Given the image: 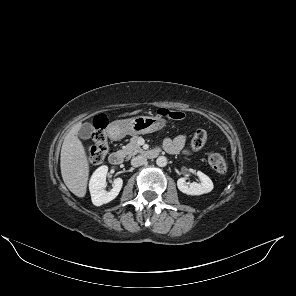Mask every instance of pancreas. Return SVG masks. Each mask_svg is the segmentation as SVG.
Returning a JSON list of instances; mask_svg holds the SVG:
<instances>
[{"mask_svg":"<svg viewBox=\"0 0 296 296\" xmlns=\"http://www.w3.org/2000/svg\"><path fill=\"white\" fill-rule=\"evenodd\" d=\"M138 139V136H133L130 139V142L126 146H123L121 153L128 158L134 156L137 153H143V149L138 144Z\"/></svg>","mask_w":296,"mask_h":296,"instance_id":"pancreas-1","label":"pancreas"}]
</instances>
